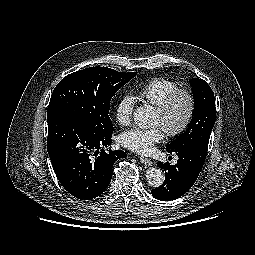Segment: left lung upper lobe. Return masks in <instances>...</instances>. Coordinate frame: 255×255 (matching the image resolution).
Masks as SVG:
<instances>
[{"label": "left lung upper lobe", "instance_id": "obj_1", "mask_svg": "<svg viewBox=\"0 0 255 255\" xmlns=\"http://www.w3.org/2000/svg\"><path fill=\"white\" fill-rule=\"evenodd\" d=\"M195 107L192 120L186 132L177 136L167 146V152H177L189 147L208 148L211 130L213 129L216 108L214 93L208 83L199 78L190 81Z\"/></svg>", "mask_w": 255, "mask_h": 255}]
</instances>
